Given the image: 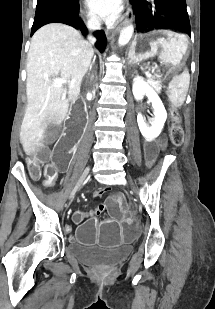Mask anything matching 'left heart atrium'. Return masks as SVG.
Returning a JSON list of instances; mask_svg holds the SVG:
<instances>
[{
    "instance_id": "obj_1",
    "label": "left heart atrium",
    "mask_w": 215,
    "mask_h": 309,
    "mask_svg": "<svg viewBox=\"0 0 215 309\" xmlns=\"http://www.w3.org/2000/svg\"><path fill=\"white\" fill-rule=\"evenodd\" d=\"M112 2L114 0H88V5L93 12H98V15L106 19L112 12H120V5H112Z\"/></svg>"
}]
</instances>
